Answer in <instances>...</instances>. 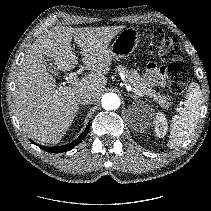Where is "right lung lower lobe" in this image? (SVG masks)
Returning <instances> with one entry per match:
<instances>
[{
  "label": "right lung lower lobe",
  "mask_w": 211,
  "mask_h": 211,
  "mask_svg": "<svg viewBox=\"0 0 211 211\" xmlns=\"http://www.w3.org/2000/svg\"><path fill=\"white\" fill-rule=\"evenodd\" d=\"M89 129H90V122L88 123L84 132L76 140H74L73 142H71L69 144H66V145H63V146H56V147H47V146L39 145V147L41 149H43L44 151H47V152H50V153L67 152L83 140V138L87 135ZM31 142L34 143L33 141H31Z\"/></svg>",
  "instance_id": "1"
}]
</instances>
